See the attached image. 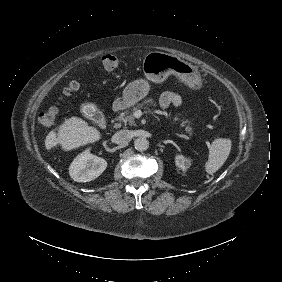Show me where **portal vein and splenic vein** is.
Listing matches in <instances>:
<instances>
[{"label": "portal vein and splenic vein", "instance_id": "18ae733b", "mask_svg": "<svg viewBox=\"0 0 282 282\" xmlns=\"http://www.w3.org/2000/svg\"><path fill=\"white\" fill-rule=\"evenodd\" d=\"M134 116H135L136 119H138V120L140 119L141 120V119L144 118L145 115H144L143 112L138 110V111L135 112Z\"/></svg>", "mask_w": 282, "mask_h": 282}]
</instances>
